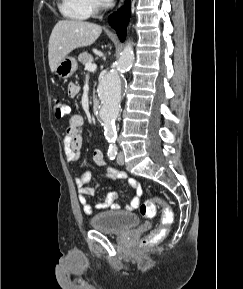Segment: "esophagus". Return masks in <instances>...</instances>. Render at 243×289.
<instances>
[{"label": "esophagus", "mask_w": 243, "mask_h": 289, "mask_svg": "<svg viewBox=\"0 0 243 289\" xmlns=\"http://www.w3.org/2000/svg\"><path fill=\"white\" fill-rule=\"evenodd\" d=\"M125 0H121L120 7L124 4Z\"/></svg>", "instance_id": "esophagus-1"}]
</instances>
